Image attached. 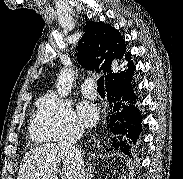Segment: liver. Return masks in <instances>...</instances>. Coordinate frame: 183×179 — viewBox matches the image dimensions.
I'll return each instance as SVG.
<instances>
[{"label": "liver", "instance_id": "1", "mask_svg": "<svg viewBox=\"0 0 183 179\" xmlns=\"http://www.w3.org/2000/svg\"><path fill=\"white\" fill-rule=\"evenodd\" d=\"M61 164V178L74 179L73 161L67 151L57 144L37 146L24 155L17 179H58V166Z\"/></svg>", "mask_w": 183, "mask_h": 179}]
</instances>
